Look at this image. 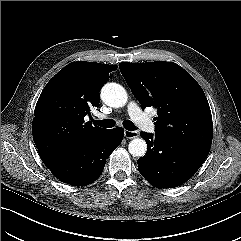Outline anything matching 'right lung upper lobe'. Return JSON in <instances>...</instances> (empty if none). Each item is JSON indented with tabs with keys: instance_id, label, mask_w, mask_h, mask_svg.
<instances>
[{
	"instance_id": "obj_1",
	"label": "right lung upper lobe",
	"mask_w": 241,
	"mask_h": 241,
	"mask_svg": "<svg viewBox=\"0 0 241 241\" xmlns=\"http://www.w3.org/2000/svg\"><path fill=\"white\" fill-rule=\"evenodd\" d=\"M116 65L73 62L61 69L43 89L34 111L33 139L41 159L84 146L107 129L84 117L99 106V92Z\"/></svg>"
}]
</instances>
